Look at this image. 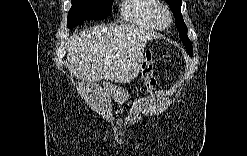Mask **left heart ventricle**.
I'll use <instances>...</instances> for the list:
<instances>
[{
  "label": "left heart ventricle",
  "instance_id": "obj_1",
  "mask_svg": "<svg viewBox=\"0 0 247 156\" xmlns=\"http://www.w3.org/2000/svg\"><path fill=\"white\" fill-rule=\"evenodd\" d=\"M161 21H162L163 23L166 22V17H165L164 15L161 16Z\"/></svg>",
  "mask_w": 247,
  "mask_h": 156
}]
</instances>
